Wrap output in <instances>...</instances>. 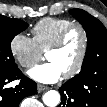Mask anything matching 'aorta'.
I'll return each mask as SVG.
<instances>
[{
  "label": "aorta",
  "instance_id": "aorta-1",
  "mask_svg": "<svg viewBox=\"0 0 107 107\" xmlns=\"http://www.w3.org/2000/svg\"><path fill=\"white\" fill-rule=\"evenodd\" d=\"M43 102L48 107H56L60 103V94L50 90L43 95Z\"/></svg>",
  "mask_w": 107,
  "mask_h": 107
}]
</instances>
